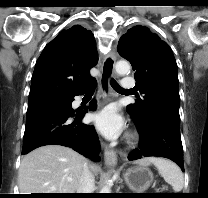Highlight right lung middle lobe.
Wrapping results in <instances>:
<instances>
[{"instance_id": "obj_1", "label": "right lung middle lobe", "mask_w": 208, "mask_h": 198, "mask_svg": "<svg viewBox=\"0 0 208 198\" xmlns=\"http://www.w3.org/2000/svg\"><path fill=\"white\" fill-rule=\"evenodd\" d=\"M68 99H65V100H57V101H51V102H46V103H43V104H49V103H64V102H67Z\"/></svg>"}]
</instances>
